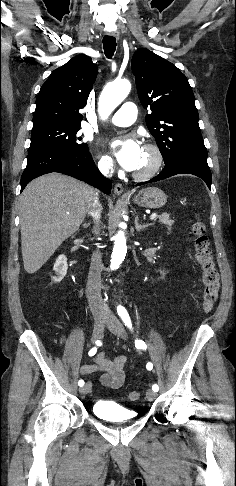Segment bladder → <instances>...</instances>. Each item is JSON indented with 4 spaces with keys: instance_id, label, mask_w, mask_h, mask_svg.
<instances>
[{
    "instance_id": "31cf9c89",
    "label": "bladder",
    "mask_w": 236,
    "mask_h": 486,
    "mask_svg": "<svg viewBox=\"0 0 236 486\" xmlns=\"http://www.w3.org/2000/svg\"><path fill=\"white\" fill-rule=\"evenodd\" d=\"M92 411L97 418L113 423H127L137 418L135 411L106 400L97 401L93 405Z\"/></svg>"
}]
</instances>
